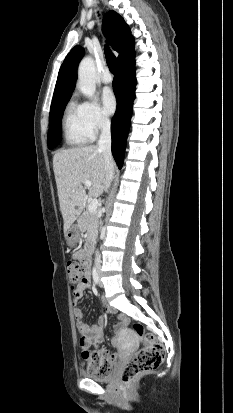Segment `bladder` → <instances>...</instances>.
Segmentation results:
<instances>
[{
	"label": "bladder",
	"mask_w": 233,
	"mask_h": 413,
	"mask_svg": "<svg viewBox=\"0 0 233 413\" xmlns=\"http://www.w3.org/2000/svg\"><path fill=\"white\" fill-rule=\"evenodd\" d=\"M84 377L89 378L91 380L97 381V382H109L112 378V373L109 372L107 374H99L95 372H85Z\"/></svg>",
	"instance_id": "bladder-1"
}]
</instances>
